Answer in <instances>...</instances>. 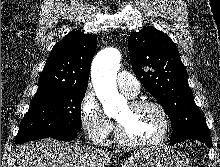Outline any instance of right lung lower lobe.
<instances>
[{"label": "right lung lower lobe", "instance_id": "1", "mask_svg": "<svg viewBox=\"0 0 220 167\" xmlns=\"http://www.w3.org/2000/svg\"><path fill=\"white\" fill-rule=\"evenodd\" d=\"M76 137H77V132H72V133H63V134H58V135H53V136H49V135L40 136L34 140L42 139V138H54L57 140L69 141V140L75 139ZM17 144H21V143H17Z\"/></svg>", "mask_w": 220, "mask_h": 167}]
</instances>
